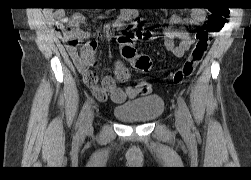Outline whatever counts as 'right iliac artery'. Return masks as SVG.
Returning a JSON list of instances; mask_svg holds the SVG:
<instances>
[{
  "label": "right iliac artery",
  "mask_w": 251,
  "mask_h": 180,
  "mask_svg": "<svg viewBox=\"0 0 251 180\" xmlns=\"http://www.w3.org/2000/svg\"><path fill=\"white\" fill-rule=\"evenodd\" d=\"M91 102H92V98H89L83 105L81 113L79 115V119H78V124L80 126V129L82 128L83 122L85 121V118L90 110L91 107Z\"/></svg>",
  "instance_id": "right-iliac-artery-1"
}]
</instances>
